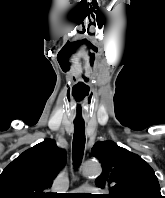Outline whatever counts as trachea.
<instances>
[{"mask_svg": "<svg viewBox=\"0 0 165 198\" xmlns=\"http://www.w3.org/2000/svg\"><path fill=\"white\" fill-rule=\"evenodd\" d=\"M85 148V124L83 122L74 123L73 136V161L77 167L83 158Z\"/></svg>", "mask_w": 165, "mask_h": 198, "instance_id": "trachea-1", "label": "trachea"}]
</instances>
